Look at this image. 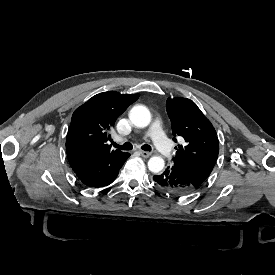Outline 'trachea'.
Masks as SVG:
<instances>
[{
    "instance_id": "obj_1",
    "label": "trachea",
    "mask_w": 275,
    "mask_h": 275,
    "mask_svg": "<svg viewBox=\"0 0 275 275\" xmlns=\"http://www.w3.org/2000/svg\"><path fill=\"white\" fill-rule=\"evenodd\" d=\"M116 148L122 149V150H131L133 148V145L130 142H125L123 145H118L115 142L113 143ZM141 149L144 151H151V146L148 144H144L141 146Z\"/></svg>"
}]
</instances>
